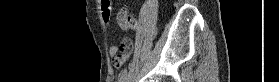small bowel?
Instances as JSON below:
<instances>
[{
  "instance_id": "1",
  "label": "small bowel",
  "mask_w": 279,
  "mask_h": 82,
  "mask_svg": "<svg viewBox=\"0 0 279 82\" xmlns=\"http://www.w3.org/2000/svg\"><path fill=\"white\" fill-rule=\"evenodd\" d=\"M102 10H103V18L106 22L109 21L110 19V5L109 4H104L102 3ZM122 28V27H121ZM125 29V28H122ZM121 53H119V46L117 45H112L109 48V54L113 58V67L118 69L121 68L125 61L126 58L129 56L131 51H129V48H131V42L129 39H123L121 42Z\"/></svg>"
}]
</instances>
